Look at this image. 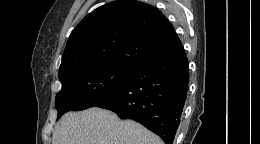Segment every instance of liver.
<instances>
[{"instance_id":"obj_1","label":"liver","mask_w":260,"mask_h":144,"mask_svg":"<svg viewBox=\"0 0 260 144\" xmlns=\"http://www.w3.org/2000/svg\"><path fill=\"white\" fill-rule=\"evenodd\" d=\"M52 144H163L151 131L131 120L121 121L109 110L93 107L66 113Z\"/></svg>"}]
</instances>
